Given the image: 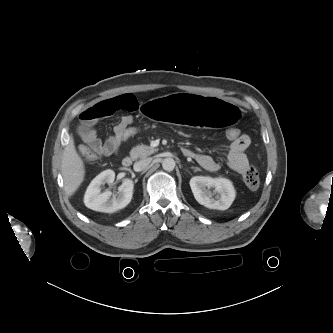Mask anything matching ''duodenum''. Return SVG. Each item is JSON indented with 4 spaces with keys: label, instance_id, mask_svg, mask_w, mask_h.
<instances>
[{
    "label": "duodenum",
    "instance_id": "410a0bca",
    "mask_svg": "<svg viewBox=\"0 0 333 333\" xmlns=\"http://www.w3.org/2000/svg\"><path fill=\"white\" fill-rule=\"evenodd\" d=\"M183 153L187 156L191 155V152L187 149H183ZM132 163H133V157L132 156H126L122 160V165L124 167H130L132 165Z\"/></svg>",
    "mask_w": 333,
    "mask_h": 333
}]
</instances>
